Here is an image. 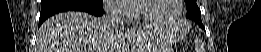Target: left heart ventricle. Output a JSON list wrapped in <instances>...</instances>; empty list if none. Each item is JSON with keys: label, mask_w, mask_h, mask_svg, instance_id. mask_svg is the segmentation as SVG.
<instances>
[{"label": "left heart ventricle", "mask_w": 261, "mask_h": 52, "mask_svg": "<svg viewBox=\"0 0 261 52\" xmlns=\"http://www.w3.org/2000/svg\"><path fill=\"white\" fill-rule=\"evenodd\" d=\"M142 12L145 15L167 19L173 16L177 11L176 0H150L142 2Z\"/></svg>", "instance_id": "b2bd125f"}]
</instances>
